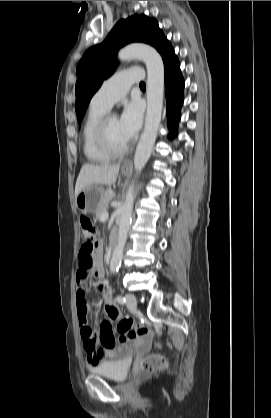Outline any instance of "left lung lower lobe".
<instances>
[{
  "mask_svg": "<svg viewBox=\"0 0 271 418\" xmlns=\"http://www.w3.org/2000/svg\"><path fill=\"white\" fill-rule=\"evenodd\" d=\"M159 53L164 61L167 114L171 137H174L177 134L176 127L180 119V108L184 100V79L180 71L179 60L168 40H165L162 44Z\"/></svg>",
  "mask_w": 271,
  "mask_h": 418,
  "instance_id": "obj_1",
  "label": "left lung lower lobe"
}]
</instances>
